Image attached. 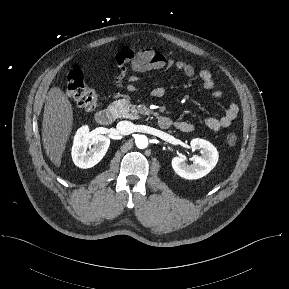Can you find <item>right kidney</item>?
<instances>
[{"label":"right kidney","mask_w":289,"mask_h":289,"mask_svg":"<svg viewBox=\"0 0 289 289\" xmlns=\"http://www.w3.org/2000/svg\"><path fill=\"white\" fill-rule=\"evenodd\" d=\"M110 139L104 135H92L87 125L80 127L72 146V159L79 168L87 169L99 163L106 154Z\"/></svg>","instance_id":"ca27d5eb"}]
</instances>
